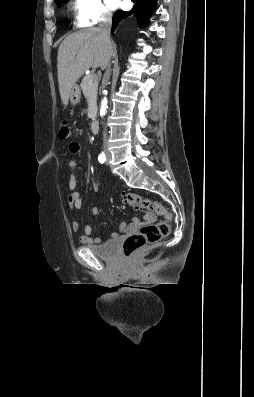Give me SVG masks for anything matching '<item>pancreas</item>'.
I'll return each mask as SVG.
<instances>
[{
  "label": "pancreas",
  "instance_id": "cf45deb5",
  "mask_svg": "<svg viewBox=\"0 0 254 397\" xmlns=\"http://www.w3.org/2000/svg\"><path fill=\"white\" fill-rule=\"evenodd\" d=\"M88 104V117L94 119L96 116V100L98 90V78L94 74L86 75L80 84Z\"/></svg>",
  "mask_w": 254,
  "mask_h": 397
}]
</instances>
